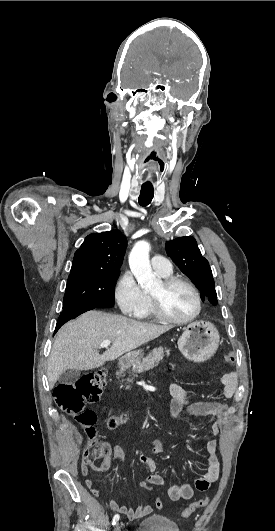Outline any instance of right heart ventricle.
<instances>
[{
  "label": "right heart ventricle",
  "instance_id": "obj_1",
  "mask_svg": "<svg viewBox=\"0 0 275 531\" xmlns=\"http://www.w3.org/2000/svg\"><path fill=\"white\" fill-rule=\"evenodd\" d=\"M162 276H168L170 275L169 274H161ZM150 317H155V313H154V310H153V305H152V300L151 298L149 297V305H148V308L147 310L144 312V314H142L140 316V318H150Z\"/></svg>",
  "mask_w": 275,
  "mask_h": 531
}]
</instances>
